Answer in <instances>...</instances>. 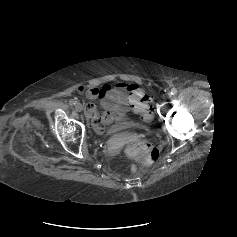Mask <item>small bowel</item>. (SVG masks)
Masks as SVG:
<instances>
[{
  "instance_id": "small-bowel-1",
  "label": "small bowel",
  "mask_w": 237,
  "mask_h": 237,
  "mask_svg": "<svg viewBox=\"0 0 237 237\" xmlns=\"http://www.w3.org/2000/svg\"><path fill=\"white\" fill-rule=\"evenodd\" d=\"M78 92L100 102L103 108L101 116L98 115L95 105L87 104L85 108L90 127L99 134L108 128L127 123L130 113L141 114L145 119L149 115V98L134 83L106 84L88 89L79 87Z\"/></svg>"
}]
</instances>
